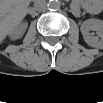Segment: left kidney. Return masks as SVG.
Wrapping results in <instances>:
<instances>
[{"label": "left kidney", "mask_w": 103, "mask_h": 103, "mask_svg": "<svg viewBox=\"0 0 103 103\" xmlns=\"http://www.w3.org/2000/svg\"><path fill=\"white\" fill-rule=\"evenodd\" d=\"M81 33L84 41L91 47L102 48L103 47V21L96 18H91L83 22L81 25ZM89 30H96L98 36H93L89 33Z\"/></svg>", "instance_id": "left-kidney-1"}]
</instances>
